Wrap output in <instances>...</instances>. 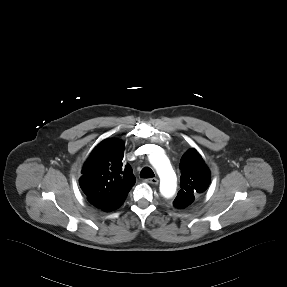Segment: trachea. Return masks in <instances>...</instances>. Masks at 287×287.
Returning a JSON list of instances; mask_svg holds the SVG:
<instances>
[{"label": "trachea", "mask_w": 287, "mask_h": 287, "mask_svg": "<svg viewBox=\"0 0 287 287\" xmlns=\"http://www.w3.org/2000/svg\"><path fill=\"white\" fill-rule=\"evenodd\" d=\"M154 176L155 175H154L153 170L149 167H144L140 172L141 178H153Z\"/></svg>", "instance_id": "trachea-1"}]
</instances>
